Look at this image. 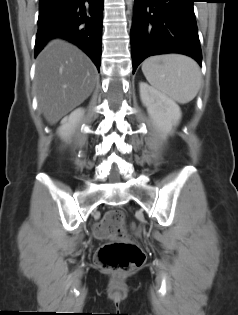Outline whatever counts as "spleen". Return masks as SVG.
Listing matches in <instances>:
<instances>
[{
	"instance_id": "1",
	"label": "spleen",
	"mask_w": 238,
	"mask_h": 315,
	"mask_svg": "<svg viewBox=\"0 0 238 315\" xmlns=\"http://www.w3.org/2000/svg\"><path fill=\"white\" fill-rule=\"evenodd\" d=\"M142 72L155 89L180 104L193 100L202 83L197 62L180 54L149 57L142 63Z\"/></svg>"
}]
</instances>
